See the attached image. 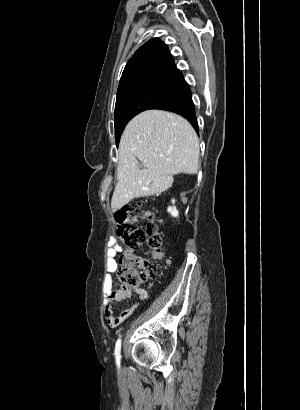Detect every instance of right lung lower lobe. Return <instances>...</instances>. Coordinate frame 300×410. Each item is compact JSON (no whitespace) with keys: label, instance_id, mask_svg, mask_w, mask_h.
Returning a JSON list of instances; mask_svg holds the SVG:
<instances>
[{"label":"right lung lower lobe","instance_id":"1","mask_svg":"<svg viewBox=\"0 0 300 410\" xmlns=\"http://www.w3.org/2000/svg\"><path fill=\"white\" fill-rule=\"evenodd\" d=\"M159 109L180 114L192 124L196 132L199 131L197 118L195 114V106L191 98V90L189 86L174 101L160 107Z\"/></svg>","mask_w":300,"mask_h":410}]
</instances>
